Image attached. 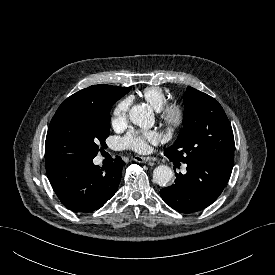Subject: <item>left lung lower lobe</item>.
Masks as SVG:
<instances>
[{"label": "left lung lower lobe", "instance_id": "0a47b994", "mask_svg": "<svg viewBox=\"0 0 275 275\" xmlns=\"http://www.w3.org/2000/svg\"><path fill=\"white\" fill-rule=\"evenodd\" d=\"M232 168L233 164L205 159L187 163V173H175L174 184L160 190V195L167 205L181 213L200 211L222 193Z\"/></svg>", "mask_w": 275, "mask_h": 275}]
</instances>
